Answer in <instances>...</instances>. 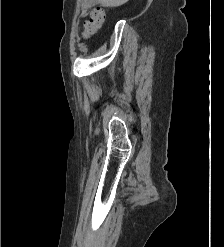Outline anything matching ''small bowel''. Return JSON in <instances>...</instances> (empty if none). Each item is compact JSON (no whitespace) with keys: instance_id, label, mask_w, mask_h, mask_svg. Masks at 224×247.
Instances as JSON below:
<instances>
[{"instance_id":"c3829d8e","label":"small bowel","mask_w":224,"mask_h":247,"mask_svg":"<svg viewBox=\"0 0 224 247\" xmlns=\"http://www.w3.org/2000/svg\"><path fill=\"white\" fill-rule=\"evenodd\" d=\"M99 0H82L81 15L85 16L88 14V9L97 4Z\"/></svg>"}]
</instances>
